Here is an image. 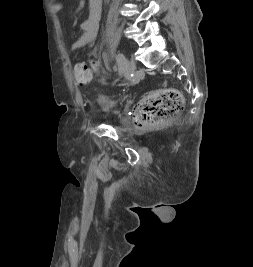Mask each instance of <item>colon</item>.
<instances>
[{"instance_id":"1","label":"colon","mask_w":253,"mask_h":267,"mask_svg":"<svg viewBox=\"0 0 253 267\" xmlns=\"http://www.w3.org/2000/svg\"><path fill=\"white\" fill-rule=\"evenodd\" d=\"M91 67L97 69L98 62L91 60ZM75 79L79 84L91 80V69L85 64L75 67ZM184 107L181 92L174 88L160 89L145 96L137 105V121L140 125H152L165 122L177 116Z\"/></svg>"}]
</instances>
